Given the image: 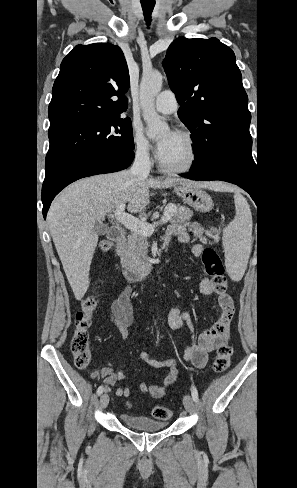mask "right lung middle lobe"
<instances>
[{
    "mask_svg": "<svg viewBox=\"0 0 297 488\" xmlns=\"http://www.w3.org/2000/svg\"><path fill=\"white\" fill-rule=\"evenodd\" d=\"M48 136L45 176L85 156L134 149L131 120L120 116L71 125Z\"/></svg>",
    "mask_w": 297,
    "mask_h": 488,
    "instance_id": "obj_1",
    "label": "right lung middle lobe"
}]
</instances>
